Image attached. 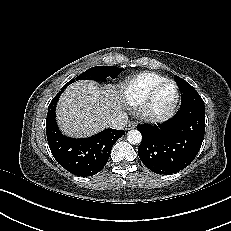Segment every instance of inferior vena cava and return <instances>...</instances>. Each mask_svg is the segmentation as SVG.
<instances>
[{"label": "inferior vena cava", "instance_id": "1", "mask_svg": "<svg viewBox=\"0 0 231 231\" xmlns=\"http://www.w3.org/2000/svg\"><path fill=\"white\" fill-rule=\"evenodd\" d=\"M127 121V114L121 111L117 115L109 117L106 121V126L113 129H123Z\"/></svg>", "mask_w": 231, "mask_h": 231}]
</instances>
